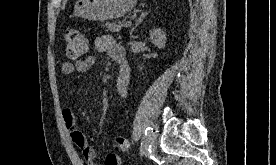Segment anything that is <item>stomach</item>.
I'll list each match as a JSON object with an SVG mask.
<instances>
[{
    "label": "stomach",
    "instance_id": "obj_1",
    "mask_svg": "<svg viewBox=\"0 0 276 165\" xmlns=\"http://www.w3.org/2000/svg\"><path fill=\"white\" fill-rule=\"evenodd\" d=\"M136 0H78L74 15L88 20L106 21L124 16Z\"/></svg>",
    "mask_w": 276,
    "mask_h": 165
}]
</instances>
